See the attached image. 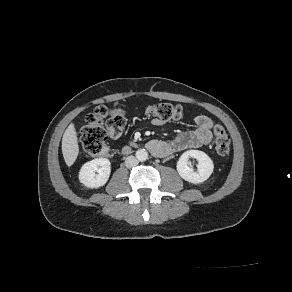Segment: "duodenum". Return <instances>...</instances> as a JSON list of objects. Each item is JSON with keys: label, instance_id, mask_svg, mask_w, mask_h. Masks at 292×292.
I'll return each instance as SVG.
<instances>
[{"label": "duodenum", "instance_id": "410a0bca", "mask_svg": "<svg viewBox=\"0 0 292 292\" xmlns=\"http://www.w3.org/2000/svg\"><path fill=\"white\" fill-rule=\"evenodd\" d=\"M122 151L125 154L129 153L131 151V146H129V145L128 146H125Z\"/></svg>", "mask_w": 292, "mask_h": 292}]
</instances>
